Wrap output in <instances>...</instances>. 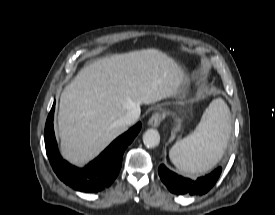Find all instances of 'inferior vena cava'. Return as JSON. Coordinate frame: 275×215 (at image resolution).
Returning <instances> with one entry per match:
<instances>
[{
  "mask_svg": "<svg viewBox=\"0 0 275 215\" xmlns=\"http://www.w3.org/2000/svg\"><path fill=\"white\" fill-rule=\"evenodd\" d=\"M140 112V107L134 106L133 108L129 109L122 118H120L119 124L125 126L135 124L140 116Z\"/></svg>",
  "mask_w": 275,
  "mask_h": 215,
  "instance_id": "obj_1",
  "label": "inferior vena cava"
}]
</instances>
